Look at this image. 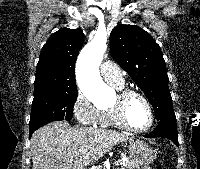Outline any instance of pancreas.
I'll return each mask as SVG.
<instances>
[{"mask_svg": "<svg viewBox=\"0 0 200 169\" xmlns=\"http://www.w3.org/2000/svg\"><path fill=\"white\" fill-rule=\"evenodd\" d=\"M121 167L118 169H135L137 165L132 160L120 161ZM95 169H103L102 166H96Z\"/></svg>", "mask_w": 200, "mask_h": 169, "instance_id": "cf45deb5", "label": "pancreas"}]
</instances>
